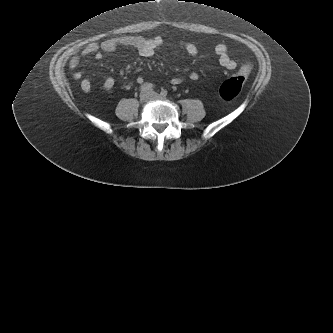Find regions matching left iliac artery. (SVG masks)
<instances>
[{
	"instance_id": "44dca946",
	"label": "left iliac artery",
	"mask_w": 333,
	"mask_h": 333,
	"mask_svg": "<svg viewBox=\"0 0 333 333\" xmlns=\"http://www.w3.org/2000/svg\"><path fill=\"white\" fill-rule=\"evenodd\" d=\"M167 93H168L167 90H164V89H163V90L161 91V95H163V96H167Z\"/></svg>"
}]
</instances>
